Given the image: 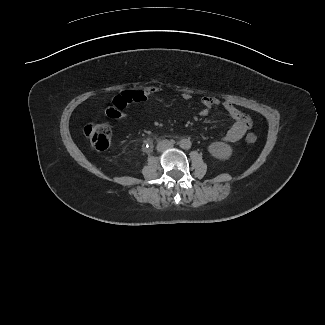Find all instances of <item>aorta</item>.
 Returning <instances> with one entry per match:
<instances>
[{
    "mask_svg": "<svg viewBox=\"0 0 325 325\" xmlns=\"http://www.w3.org/2000/svg\"><path fill=\"white\" fill-rule=\"evenodd\" d=\"M179 144H180V147L183 149H190L191 145H192V143L189 139H182Z\"/></svg>",
    "mask_w": 325,
    "mask_h": 325,
    "instance_id": "obj_1",
    "label": "aorta"
}]
</instances>
